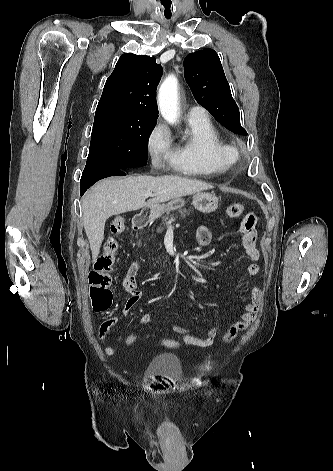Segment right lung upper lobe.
Listing matches in <instances>:
<instances>
[{"mask_svg":"<svg viewBox=\"0 0 333 471\" xmlns=\"http://www.w3.org/2000/svg\"><path fill=\"white\" fill-rule=\"evenodd\" d=\"M162 67L154 57L125 53L107 79L95 117L116 115L157 120L156 88Z\"/></svg>","mask_w":333,"mask_h":471,"instance_id":"right-lung-upper-lobe-1","label":"right lung upper lobe"}]
</instances>
